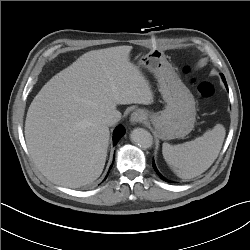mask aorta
<instances>
[{
    "mask_svg": "<svg viewBox=\"0 0 250 250\" xmlns=\"http://www.w3.org/2000/svg\"><path fill=\"white\" fill-rule=\"evenodd\" d=\"M132 142L140 146L141 148H150L153 144V137L150 132L143 128H136L130 134Z\"/></svg>",
    "mask_w": 250,
    "mask_h": 250,
    "instance_id": "762f6f07",
    "label": "aorta"
}]
</instances>
